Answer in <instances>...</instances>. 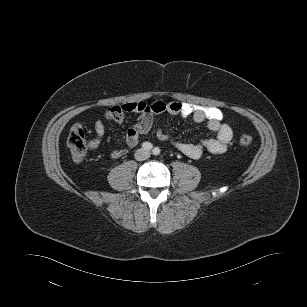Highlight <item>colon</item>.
I'll return each mask as SVG.
<instances>
[{
  "label": "colon",
  "instance_id": "1",
  "mask_svg": "<svg viewBox=\"0 0 307 307\" xmlns=\"http://www.w3.org/2000/svg\"><path fill=\"white\" fill-rule=\"evenodd\" d=\"M252 142L253 138L249 134H242L238 139V143L242 147H249ZM68 146L75 160L81 161L86 156L89 143L82 125L72 126L68 136Z\"/></svg>",
  "mask_w": 307,
  "mask_h": 307
}]
</instances>
